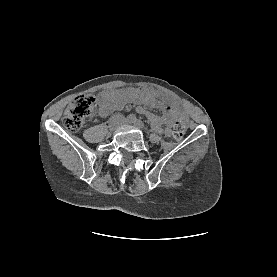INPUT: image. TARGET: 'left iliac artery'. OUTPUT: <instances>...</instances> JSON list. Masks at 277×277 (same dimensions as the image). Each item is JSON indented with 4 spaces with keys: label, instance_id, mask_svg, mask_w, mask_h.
Returning a JSON list of instances; mask_svg holds the SVG:
<instances>
[{
    "label": "left iliac artery",
    "instance_id": "1",
    "mask_svg": "<svg viewBox=\"0 0 277 277\" xmlns=\"http://www.w3.org/2000/svg\"><path fill=\"white\" fill-rule=\"evenodd\" d=\"M135 125L139 128H144V123L140 120H136L135 122Z\"/></svg>",
    "mask_w": 277,
    "mask_h": 277
}]
</instances>
